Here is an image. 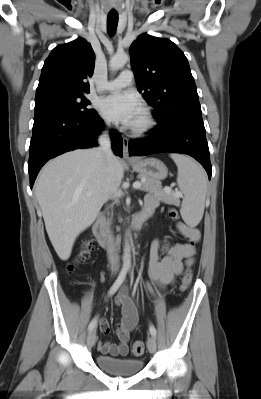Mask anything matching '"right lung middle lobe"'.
Instances as JSON below:
<instances>
[{
	"mask_svg": "<svg viewBox=\"0 0 261 399\" xmlns=\"http://www.w3.org/2000/svg\"><path fill=\"white\" fill-rule=\"evenodd\" d=\"M90 101L83 94H67L44 97L35 100V115L61 111L80 118H90L95 110H88Z\"/></svg>",
	"mask_w": 261,
	"mask_h": 399,
	"instance_id": "1",
	"label": "right lung middle lobe"
}]
</instances>
